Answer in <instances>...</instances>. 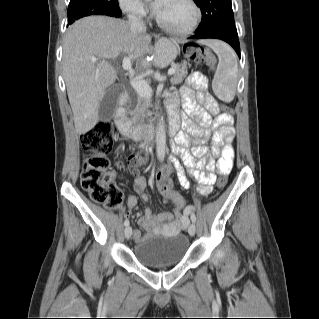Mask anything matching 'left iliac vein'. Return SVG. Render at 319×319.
Instances as JSON below:
<instances>
[{"instance_id":"obj_1","label":"left iliac vein","mask_w":319,"mask_h":319,"mask_svg":"<svg viewBox=\"0 0 319 319\" xmlns=\"http://www.w3.org/2000/svg\"><path fill=\"white\" fill-rule=\"evenodd\" d=\"M195 232H196V226L194 223H192L188 227V233H189V235L194 236Z\"/></svg>"}]
</instances>
